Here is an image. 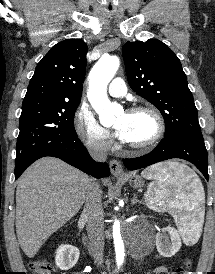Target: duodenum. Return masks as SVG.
<instances>
[{
    "label": "duodenum",
    "mask_w": 215,
    "mask_h": 274,
    "mask_svg": "<svg viewBox=\"0 0 215 274\" xmlns=\"http://www.w3.org/2000/svg\"><path fill=\"white\" fill-rule=\"evenodd\" d=\"M83 241H84V244H85L87 247L91 248V246H90V244H89V242H88L86 236H83Z\"/></svg>",
    "instance_id": "410a0bca"
}]
</instances>
